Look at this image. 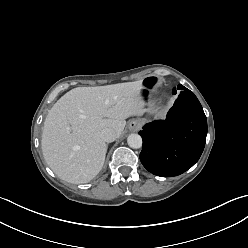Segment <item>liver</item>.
<instances>
[{
	"instance_id": "1",
	"label": "liver",
	"mask_w": 248,
	"mask_h": 248,
	"mask_svg": "<svg viewBox=\"0 0 248 248\" xmlns=\"http://www.w3.org/2000/svg\"><path fill=\"white\" fill-rule=\"evenodd\" d=\"M142 81L77 87L49 111L43 127L44 159L61 179L75 184L91 181L102 169L107 144L100 134L113 129L119 137L125 119L144 114Z\"/></svg>"
}]
</instances>
